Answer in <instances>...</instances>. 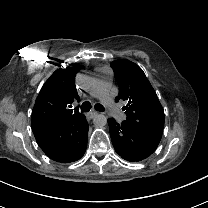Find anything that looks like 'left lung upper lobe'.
Listing matches in <instances>:
<instances>
[{
    "label": "left lung upper lobe",
    "instance_id": "obj_1",
    "mask_svg": "<svg viewBox=\"0 0 208 208\" xmlns=\"http://www.w3.org/2000/svg\"><path fill=\"white\" fill-rule=\"evenodd\" d=\"M119 84L115 101L123 100L126 121L139 134L159 144L164 127V110L143 70L129 60L111 63Z\"/></svg>",
    "mask_w": 208,
    "mask_h": 208
}]
</instances>
